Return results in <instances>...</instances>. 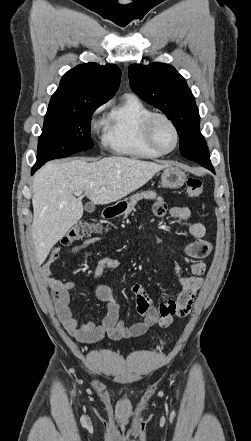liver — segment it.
I'll use <instances>...</instances> for the list:
<instances>
[{
    "mask_svg": "<svg viewBox=\"0 0 251 441\" xmlns=\"http://www.w3.org/2000/svg\"><path fill=\"white\" fill-rule=\"evenodd\" d=\"M170 163L158 164L122 156L88 163L82 159L49 162L34 176L32 238L37 261L42 264L51 248L83 215L85 192L93 204L118 201L145 185ZM104 186L106 189L102 190Z\"/></svg>",
    "mask_w": 251,
    "mask_h": 441,
    "instance_id": "1",
    "label": "liver"
}]
</instances>
